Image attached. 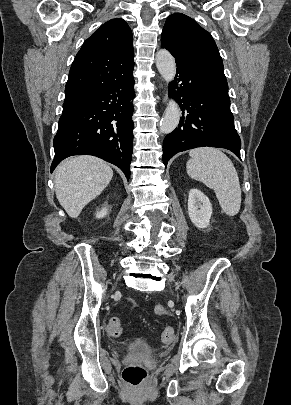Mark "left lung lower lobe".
Returning a JSON list of instances; mask_svg holds the SVG:
<instances>
[{
	"mask_svg": "<svg viewBox=\"0 0 291 405\" xmlns=\"http://www.w3.org/2000/svg\"><path fill=\"white\" fill-rule=\"evenodd\" d=\"M176 65L169 96H176L183 113L178 128L164 139V165L178 152L205 146L228 149L240 158L241 140L223 69L178 60Z\"/></svg>",
	"mask_w": 291,
	"mask_h": 405,
	"instance_id": "0a47b994",
	"label": "left lung lower lobe"
}]
</instances>
